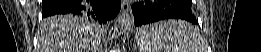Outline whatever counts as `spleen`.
<instances>
[{
	"mask_svg": "<svg viewBox=\"0 0 261 52\" xmlns=\"http://www.w3.org/2000/svg\"><path fill=\"white\" fill-rule=\"evenodd\" d=\"M137 44L140 52H203L197 29L185 21L167 20L142 27Z\"/></svg>",
	"mask_w": 261,
	"mask_h": 52,
	"instance_id": "1",
	"label": "spleen"
}]
</instances>
